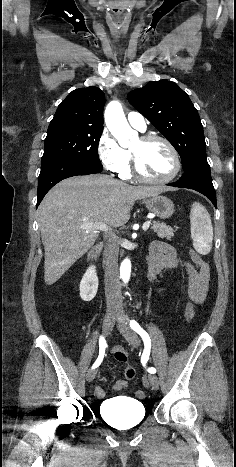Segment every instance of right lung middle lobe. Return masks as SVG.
Here are the masks:
<instances>
[{"label":"right lung middle lobe","instance_id":"obj_1","mask_svg":"<svg viewBox=\"0 0 236 467\" xmlns=\"http://www.w3.org/2000/svg\"><path fill=\"white\" fill-rule=\"evenodd\" d=\"M102 130L66 126L48 128L41 166L60 159H71L103 169L98 156Z\"/></svg>","mask_w":236,"mask_h":467}]
</instances>
